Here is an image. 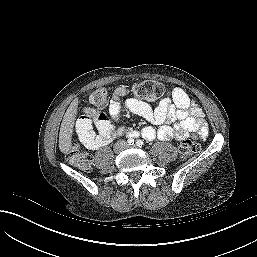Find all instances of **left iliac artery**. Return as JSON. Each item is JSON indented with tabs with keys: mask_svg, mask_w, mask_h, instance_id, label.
<instances>
[{
	"mask_svg": "<svg viewBox=\"0 0 257 257\" xmlns=\"http://www.w3.org/2000/svg\"><path fill=\"white\" fill-rule=\"evenodd\" d=\"M136 145H137L138 147H142V146L144 145V143H143L142 140H137Z\"/></svg>",
	"mask_w": 257,
	"mask_h": 257,
	"instance_id": "left-iliac-artery-1",
	"label": "left iliac artery"
}]
</instances>
